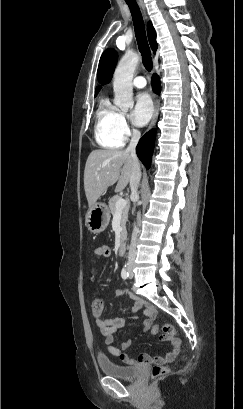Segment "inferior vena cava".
<instances>
[{
    "label": "inferior vena cava",
    "mask_w": 243,
    "mask_h": 409,
    "mask_svg": "<svg viewBox=\"0 0 243 409\" xmlns=\"http://www.w3.org/2000/svg\"><path fill=\"white\" fill-rule=\"evenodd\" d=\"M140 136H141L140 131L137 129H133L131 141L129 143V146L126 149V151L130 153L134 161V165H135L131 178H130L131 198L134 200V202H137L139 199L138 185H139L140 178H141L139 161L136 155V145L140 139ZM138 233H139V229L136 225H134L131 243L129 247V253H128V263L129 264L133 263L136 257V241H137Z\"/></svg>",
    "instance_id": "obj_1"
}]
</instances>
